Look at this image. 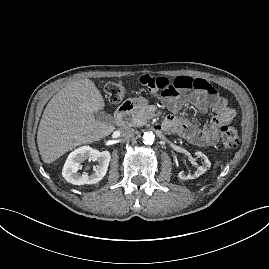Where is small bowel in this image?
<instances>
[{"mask_svg": "<svg viewBox=\"0 0 269 269\" xmlns=\"http://www.w3.org/2000/svg\"><path fill=\"white\" fill-rule=\"evenodd\" d=\"M148 93H154L159 100H164L172 110H178L183 104H193L199 113L213 111L210 121L201 127L196 122L169 116L165 121L167 129L177 132L190 143L205 147L218 140L219 129L235 118V110L228 106L223 98L206 80L189 76L169 79L164 74L143 76L140 79Z\"/></svg>", "mask_w": 269, "mask_h": 269, "instance_id": "obj_1", "label": "small bowel"}]
</instances>
